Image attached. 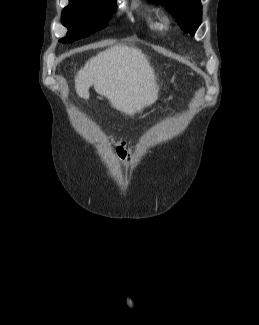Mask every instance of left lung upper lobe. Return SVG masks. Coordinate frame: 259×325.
Here are the masks:
<instances>
[{"mask_svg":"<svg viewBox=\"0 0 259 325\" xmlns=\"http://www.w3.org/2000/svg\"><path fill=\"white\" fill-rule=\"evenodd\" d=\"M164 5L178 20L185 33L194 36L202 20L200 0H152Z\"/></svg>","mask_w":259,"mask_h":325,"instance_id":"1","label":"left lung upper lobe"}]
</instances>
